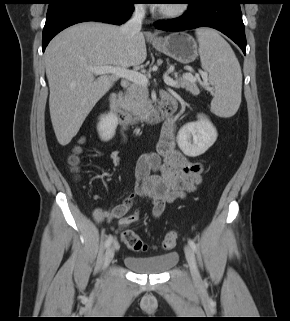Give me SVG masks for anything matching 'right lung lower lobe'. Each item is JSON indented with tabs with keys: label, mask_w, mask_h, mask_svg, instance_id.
<instances>
[{
	"label": "right lung lower lobe",
	"mask_w": 290,
	"mask_h": 321,
	"mask_svg": "<svg viewBox=\"0 0 290 321\" xmlns=\"http://www.w3.org/2000/svg\"><path fill=\"white\" fill-rule=\"evenodd\" d=\"M138 0H51L43 29L42 49L63 29L80 22L100 21L120 25Z\"/></svg>",
	"instance_id": "obj_1"
}]
</instances>
